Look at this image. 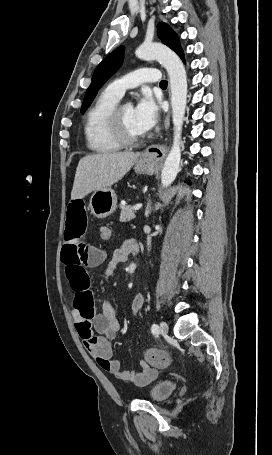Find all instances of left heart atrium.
<instances>
[{"label":"left heart atrium","mask_w":272,"mask_h":455,"mask_svg":"<svg viewBox=\"0 0 272 455\" xmlns=\"http://www.w3.org/2000/svg\"><path fill=\"white\" fill-rule=\"evenodd\" d=\"M138 130L144 134L150 131L159 118V108L151 95L145 94L134 108Z\"/></svg>","instance_id":"39dd6f15"}]
</instances>
